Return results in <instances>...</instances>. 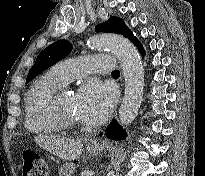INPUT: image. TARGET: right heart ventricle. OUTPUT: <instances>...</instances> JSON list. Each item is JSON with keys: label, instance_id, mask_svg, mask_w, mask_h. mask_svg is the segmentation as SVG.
Listing matches in <instances>:
<instances>
[{"label": "right heart ventricle", "instance_id": "right-heart-ventricle-1", "mask_svg": "<svg viewBox=\"0 0 205 176\" xmlns=\"http://www.w3.org/2000/svg\"><path fill=\"white\" fill-rule=\"evenodd\" d=\"M64 84L51 71L34 81L24 100L25 126L32 134H53L59 131L50 113V99Z\"/></svg>", "mask_w": 205, "mask_h": 176}]
</instances>
